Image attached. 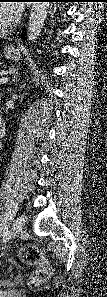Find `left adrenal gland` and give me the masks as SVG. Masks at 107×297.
Listing matches in <instances>:
<instances>
[{"label": "left adrenal gland", "mask_w": 107, "mask_h": 297, "mask_svg": "<svg viewBox=\"0 0 107 297\" xmlns=\"http://www.w3.org/2000/svg\"><path fill=\"white\" fill-rule=\"evenodd\" d=\"M17 77H18V73H16L14 76V81H16V82L19 81V79Z\"/></svg>", "instance_id": "obj_1"}]
</instances>
